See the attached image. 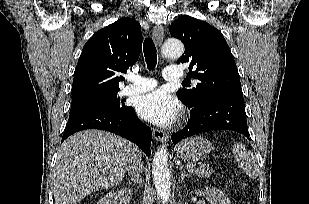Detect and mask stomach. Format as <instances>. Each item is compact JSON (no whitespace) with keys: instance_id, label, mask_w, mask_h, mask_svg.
I'll list each match as a JSON object with an SVG mask.
<instances>
[{"instance_id":"1","label":"stomach","mask_w":309,"mask_h":204,"mask_svg":"<svg viewBox=\"0 0 309 204\" xmlns=\"http://www.w3.org/2000/svg\"><path fill=\"white\" fill-rule=\"evenodd\" d=\"M212 150L211 143L201 137H190L176 146L177 157L184 160L199 161L204 159Z\"/></svg>"}]
</instances>
